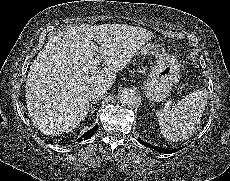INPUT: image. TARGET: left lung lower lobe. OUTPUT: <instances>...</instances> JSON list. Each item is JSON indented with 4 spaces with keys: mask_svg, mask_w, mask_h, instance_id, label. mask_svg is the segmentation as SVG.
Instances as JSON below:
<instances>
[{
    "mask_svg": "<svg viewBox=\"0 0 230 181\" xmlns=\"http://www.w3.org/2000/svg\"><path fill=\"white\" fill-rule=\"evenodd\" d=\"M139 143L140 144H142V145H144V146H147V147H149V148H152V149H154V150H157V151H159L160 153H165V154H169V153H175L176 151H178V149H163V148H158V147H156V146H153V145H151V144H148V143H146V142H144V141H142L141 139H139ZM182 148H180V150H181Z\"/></svg>",
    "mask_w": 230,
    "mask_h": 181,
    "instance_id": "0a47b994",
    "label": "left lung lower lobe"
}]
</instances>
